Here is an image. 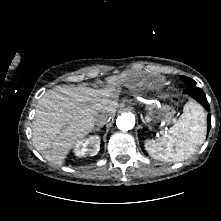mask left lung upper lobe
Listing matches in <instances>:
<instances>
[{
	"label": "left lung upper lobe",
	"mask_w": 221,
	"mask_h": 221,
	"mask_svg": "<svg viewBox=\"0 0 221 221\" xmlns=\"http://www.w3.org/2000/svg\"><path fill=\"white\" fill-rule=\"evenodd\" d=\"M182 79L186 83L187 86H195L196 85V82L189 77L182 76Z\"/></svg>",
	"instance_id": "1"
}]
</instances>
